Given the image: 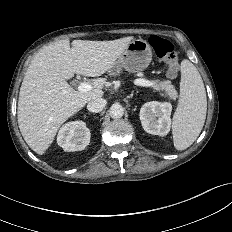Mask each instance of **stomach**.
Returning <instances> with one entry per match:
<instances>
[{
    "label": "stomach",
    "mask_w": 232,
    "mask_h": 232,
    "mask_svg": "<svg viewBox=\"0 0 232 232\" xmlns=\"http://www.w3.org/2000/svg\"><path fill=\"white\" fill-rule=\"evenodd\" d=\"M152 59L151 47L146 40H132L118 60L109 69V74L116 76L122 69L128 72L142 71L148 67Z\"/></svg>",
    "instance_id": "stomach-1"
}]
</instances>
